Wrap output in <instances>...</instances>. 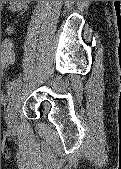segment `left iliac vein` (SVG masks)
<instances>
[{
  "instance_id": "obj_1",
  "label": "left iliac vein",
  "mask_w": 121,
  "mask_h": 169,
  "mask_svg": "<svg viewBox=\"0 0 121 169\" xmlns=\"http://www.w3.org/2000/svg\"><path fill=\"white\" fill-rule=\"evenodd\" d=\"M20 99H21V94L18 92L12 98V101L7 109L6 120L10 127H15L17 124V112H18Z\"/></svg>"
}]
</instances>
